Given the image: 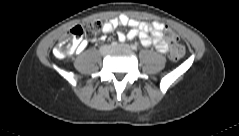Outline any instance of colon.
Segmentation results:
<instances>
[{"mask_svg":"<svg viewBox=\"0 0 239 136\" xmlns=\"http://www.w3.org/2000/svg\"><path fill=\"white\" fill-rule=\"evenodd\" d=\"M101 29V23L98 20L86 21L82 25H77L65 33L60 39L55 54L57 57L64 58L75 51L83 36L95 37ZM165 37L171 43L169 58L172 61L180 60L185 53V47L178 43V35L173 30L165 29Z\"/></svg>","mask_w":239,"mask_h":136,"instance_id":"colon-1","label":"colon"}]
</instances>
